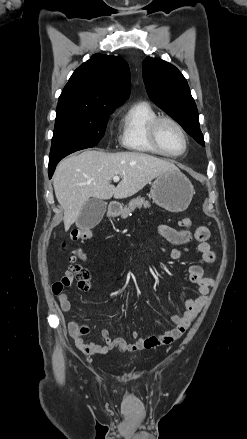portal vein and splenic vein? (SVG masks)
I'll return each instance as SVG.
<instances>
[{
    "label": "portal vein and splenic vein",
    "mask_w": 247,
    "mask_h": 439,
    "mask_svg": "<svg viewBox=\"0 0 247 439\" xmlns=\"http://www.w3.org/2000/svg\"><path fill=\"white\" fill-rule=\"evenodd\" d=\"M120 180L119 176H114L113 177V182H118Z\"/></svg>",
    "instance_id": "1"
}]
</instances>
